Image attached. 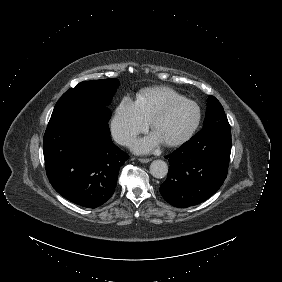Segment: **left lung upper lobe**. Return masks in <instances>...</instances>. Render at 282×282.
<instances>
[{"label":"left lung upper lobe","mask_w":282,"mask_h":282,"mask_svg":"<svg viewBox=\"0 0 282 282\" xmlns=\"http://www.w3.org/2000/svg\"><path fill=\"white\" fill-rule=\"evenodd\" d=\"M218 121H227V117L220 102L215 97L209 96L204 126Z\"/></svg>","instance_id":"left-lung-upper-lobe-1"}]
</instances>
